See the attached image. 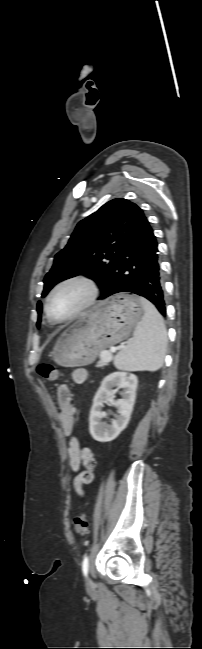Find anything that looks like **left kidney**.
Segmentation results:
<instances>
[{
    "label": "left kidney",
    "mask_w": 202,
    "mask_h": 649,
    "mask_svg": "<svg viewBox=\"0 0 202 649\" xmlns=\"http://www.w3.org/2000/svg\"><path fill=\"white\" fill-rule=\"evenodd\" d=\"M137 385V376L126 372H114L102 380L94 396L89 417V431L95 440L99 442L112 441L126 428L133 411ZM114 387L123 389L122 399L114 400ZM106 401L117 407L119 413L110 425L101 422L105 416L102 410L103 402Z\"/></svg>",
    "instance_id": "obj_1"
}]
</instances>
